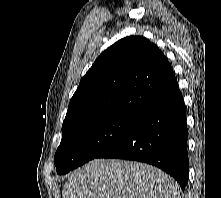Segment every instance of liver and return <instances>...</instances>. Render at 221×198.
<instances>
[{"instance_id": "liver-1", "label": "liver", "mask_w": 221, "mask_h": 198, "mask_svg": "<svg viewBox=\"0 0 221 198\" xmlns=\"http://www.w3.org/2000/svg\"><path fill=\"white\" fill-rule=\"evenodd\" d=\"M62 198H181L179 184L160 169L139 162L94 159L74 171Z\"/></svg>"}]
</instances>
